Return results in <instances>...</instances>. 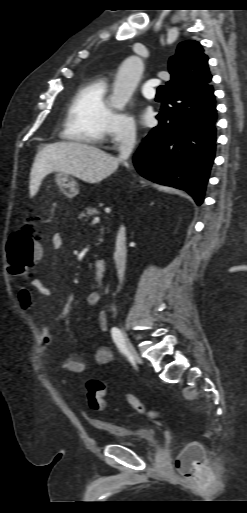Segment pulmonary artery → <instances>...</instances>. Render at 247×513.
Returning a JSON list of instances; mask_svg holds the SVG:
<instances>
[{
  "instance_id": "pulmonary-artery-1",
  "label": "pulmonary artery",
  "mask_w": 247,
  "mask_h": 513,
  "mask_svg": "<svg viewBox=\"0 0 247 513\" xmlns=\"http://www.w3.org/2000/svg\"><path fill=\"white\" fill-rule=\"evenodd\" d=\"M159 81L157 79H150L142 86V94L148 98L152 99L155 97V87L158 85Z\"/></svg>"
}]
</instances>
